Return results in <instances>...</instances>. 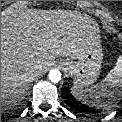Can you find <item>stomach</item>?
Listing matches in <instances>:
<instances>
[{"label": "stomach", "instance_id": "stomach-1", "mask_svg": "<svg viewBox=\"0 0 122 122\" xmlns=\"http://www.w3.org/2000/svg\"><path fill=\"white\" fill-rule=\"evenodd\" d=\"M103 53L100 47L87 50L75 61L62 60L59 65L73 77V84L81 89L93 84L101 69Z\"/></svg>", "mask_w": 122, "mask_h": 122}]
</instances>
